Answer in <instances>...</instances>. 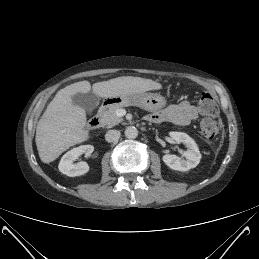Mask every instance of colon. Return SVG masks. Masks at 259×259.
Instances as JSON below:
<instances>
[{
	"mask_svg": "<svg viewBox=\"0 0 259 259\" xmlns=\"http://www.w3.org/2000/svg\"><path fill=\"white\" fill-rule=\"evenodd\" d=\"M200 106L205 115L200 122L201 134L206 139H212L220 130V123L216 118L218 113L217 105L210 94L204 93L200 99Z\"/></svg>",
	"mask_w": 259,
	"mask_h": 259,
	"instance_id": "obj_1",
	"label": "colon"
}]
</instances>
